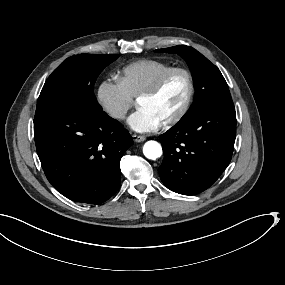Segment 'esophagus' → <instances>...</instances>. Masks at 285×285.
Masks as SVG:
<instances>
[{"label":"esophagus","mask_w":285,"mask_h":285,"mask_svg":"<svg viewBox=\"0 0 285 285\" xmlns=\"http://www.w3.org/2000/svg\"><path fill=\"white\" fill-rule=\"evenodd\" d=\"M132 139L135 142H143L146 138L144 136L141 135H132Z\"/></svg>","instance_id":"34e87169"}]
</instances>
